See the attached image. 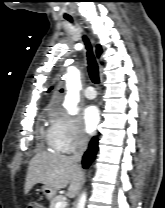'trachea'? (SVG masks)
<instances>
[{
    "instance_id": "1",
    "label": "trachea",
    "mask_w": 165,
    "mask_h": 208,
    "mask_svg": "<svg viewBox=\"0 0 165 208\" xmlns=\"http://www.w3.org/2000/svg\"><path fill=\"white\" fill-rule=\"evenodd\" d=\"M70 22L72 20L69 19ZM84 43L86 45L87 49V60H88V72L89 76L92 80L93 83L98 84L100 79H99V69L98 65L96 63L95 57L92 52V47L90 45V42L86 36L83 37Z\"/></svg>"
}]
</instances>
